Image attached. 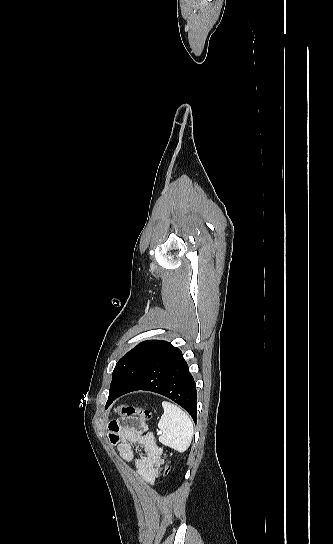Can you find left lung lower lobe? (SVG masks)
Returning <instances> with one entry per match:
<instances>
[{"label":"left lung lower lobe","mask_w":333,"mask_h":544,"mask_svg":"<svg viewBox=\"0 0 333 544\" xmlns=\"http://www.w3.org/2000/svg\"><path fill=\"white\" fill-rule=\"evenodd\" d=\"M147 390L164 395L183 407L197 421V391L182 352L167 343L152 356L119 391L110 392L106 403L126 393Z\"/></svg>","instance_id":"left-lung-lower-lobe-1"}]
</instances>
